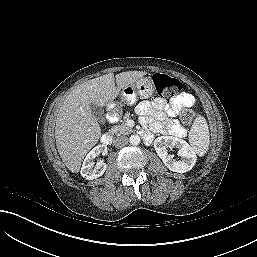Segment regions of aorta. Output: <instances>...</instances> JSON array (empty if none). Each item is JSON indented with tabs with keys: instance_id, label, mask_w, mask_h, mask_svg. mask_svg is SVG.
Listing matches in <instances>:
<instances>
[{
	"instance_id": "aorta-1",
	"label": "aorta",
	"mask_w": 257,
	"mask_h": 257,
	"mask_svg": "<svg viewBox=\"0 0 257 257\" xmlns=\"http://www.w3.org/2000/svg\"><path fill=\"white\" fill-rule=\"evenodd\" d=\"M140 137L137 134H133L129 138V142L131 145H138L140 143Z\"/></svg>"
}]
</instances>
